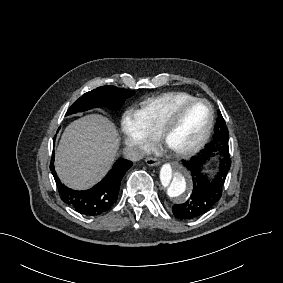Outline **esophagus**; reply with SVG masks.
I'll use <instances>...</instances> for the list:
<instances>
[{"label":"esophagus","mask_w":283,"mask_h":283,"mask_svg":"<svg viewBox=\"0 0 283 283\" xmlns=\"http://www.w3.org/2000/svg\"><path fill=\"white\" fill-rule=\"evenodd\" d=\"M146 164L149 166H158L160 164V161L156 158L149 157L146 159Z\"/></svg>","instance_id":"esophagus-1"}]
</instances>
